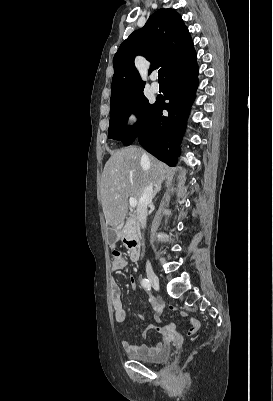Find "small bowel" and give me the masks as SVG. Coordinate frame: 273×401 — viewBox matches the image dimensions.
<instances>
[{"mask_svg":"<svg viewBox=\"0 0 273 401\" xmlns=\"http://www.w3.org/2000/svg\"><path fill=\"white\" fill-rule=\"evenodd\" d=\"M113 255V261L111 264V268L114 272H120L123 270H126L128 268V260L125 256V254L119 250H113L112 251ZM129 283L131 287L136 290L137 285L134 277H130ZM122 291L117 283V281L112 280L110 284V298H111V304H112V309H113V314H114V320L117 323H122L126 320L127 314L126 310L123 307L122 303ZM152 308L155 312V317L156 320L159 322L157 325H150L146 328L144 331L143 335L146 336L147 333L151 330L156 331L162 336V343H158L156 346L152 348H148L145 345H136L133 344L129 340H122L121 345L122 348L124 349L125 352L132 354V355H142V356H148L152 355L155 352H158L162 349V347H167L170 343V339L174 338L177 339L180 337V332L176 330L174 324L170 323H162L161 319V311L165 307L164 302L160 299H154L151 301ZM144 307H140L139 311L137 312V318L139 320H144L145 316L143 313ZM178 310V309H177ZM170 312H175L176 308L175 307H170L169 308ZM180 318L185 319L188 316L187 311L182 310L179 313ZM201 327V319L200 318H192L190 323H189V328L185 329V332L187 333L188 338H195L197 336L198 329ZM169 334V336H168Z\"/></svg>","mask_w":273,"mask_h":401,"instance_id":"1","label":"small bowel"}]
</instances>
